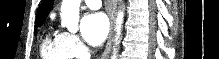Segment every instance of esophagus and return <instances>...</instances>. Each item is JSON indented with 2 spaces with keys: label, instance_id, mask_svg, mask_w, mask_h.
Masks as SVG:
<instances>
[{
  "label": "esophagus",
  "instance_id": "obj_1",
  "mask_svg": "<svg viewBox=\"0 0 219 59\" xmlns=\"http://www.w3.org/2000/svg\"><path fill=\"white\" fill-rule=\"evenodd\" d=\"M109 4L111 5V8H109V19H110V24H111V31L109 34V38L107 41L106 48L102 54L101 59H107L109 56V53L111 51V46H112V40H113V21H114V8L117 4V0H110Z\"/></svg>",
  "mask_w": 219,
  "mask_h": 59
}]
</instances>
